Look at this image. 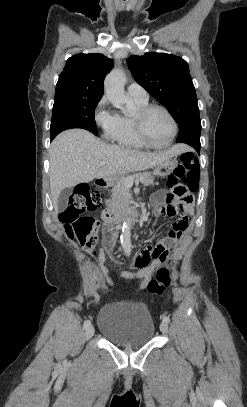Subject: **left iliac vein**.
Listing matches in <instances>:
<instances>
[{
  "mask_svg": "<svg viewBox=\"0 0 247 407\" xmlns=\"http://www.w3.org/2000/svg\"><path fill=\"white\" fill-rule=\"evenodd\" d=\"M160 330L163 334H167L168 333V323L165 321H162L160 324Z\"/></svg>",
  "mask_w": 247,
  "mask_h": 407,
  "instance_id": "left-iliac-vein-1",
  "label": "left iliac vein"
}]
</instances>
